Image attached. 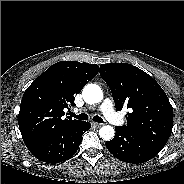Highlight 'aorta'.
<instances>
[{"label": "aorta", "instance_id": "obj_1", "mask_svg": "<svg viewBox=\"0 0 184 184\" xmlns=\"http://www.w3.org/2000/svg\"><path fill=\"white\" fill-rule=\"evenodd\" d=\"M83 99L88 104H96L103 99V92L96 84H87L82 92ZM99 135L102 139L109 141L115 135V130L112 126L106 125L100 128Z\"/></svg>", "mask_w": 184, "mask_h": 184}]
</instances>
